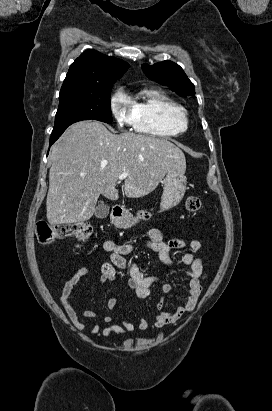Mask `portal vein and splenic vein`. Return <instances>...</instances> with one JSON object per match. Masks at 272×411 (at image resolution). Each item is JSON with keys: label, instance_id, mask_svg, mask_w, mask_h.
I'll list each match as a JSON object with an SVG mask.
<instances>
[{"label": "portal vein and splenic vein", "instance_id": "18ae733b", "mask_svg": "<svg viewBox=\"0 0 272 411\" xmlns=\"http://www.w3.org/2000/svg\"><path fill=\"white\" fill-rule=\"evenodd\" d=\"M127 176H128V173H121L119 176H118V179L119 180H123V179H126L127 178Z\"/></svg>", "mask_w": 272, "mask_h": 411}]
</instances>
